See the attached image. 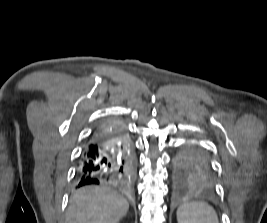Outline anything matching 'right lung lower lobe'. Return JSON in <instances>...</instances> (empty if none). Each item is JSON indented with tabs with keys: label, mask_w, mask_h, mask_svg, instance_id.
<instances>
[{
	"label": "right lung lower lobe",
	"mask_w": 267,
	"mask_h": 223,
	"mask_svg": "<svg viewBox=\"0 0 267 223\" xmlns=\"http://www.w3.org/2000/svg\"><path fill=\"white\" fill-rule=\"evenodd\" d=\"M97 132H103V128L99 127ZM95 133L80 157L77 187L108 184L128 192L135 179V165L124 126L116 123L99 137H95Z\"/></svg>",
	"instance_id": "98d812e1"
}]
</instances>
